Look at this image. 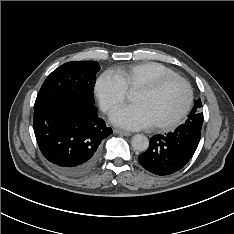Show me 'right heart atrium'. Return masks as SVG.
<instances>
[{
	"mask_svg": "<svg viewBox=\"0 0 234 234\" xmlns=\"http://www.w3.org/2000/svg\"><path fill=\"white\" fill-rule=\"evenodd\" d=\"M94 91L104 112H111L124 103L127 90L112 71L103 72L96 80Z\"/></svg>",
	"mask_w": 234,
	"mask_h": 234,
	"instance_id": "obj_1",
	"label": "right heart atrium"
}]
</instances>
